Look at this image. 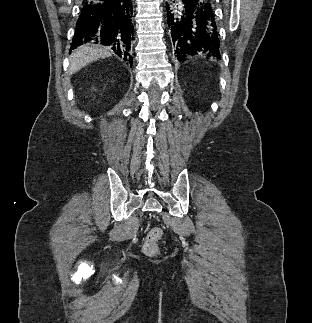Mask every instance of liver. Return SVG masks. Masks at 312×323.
<instances>
[{"label": "liver", "instance_id": "6515ba94", "mask_svg": "<svg viewBox=\"0 0 312 323\" xmlns=\"http://www.w3.org/2000/svg\"><path fill=\"white\" fill-rule=\"evenodd\" d=\"M101 56H111L109 48H96V46H79L70 56L69 74H75L81 68H85L90 62H95Z\"/></svg>", "mask_w": 312, "mask_h": 323}]
</instances>
